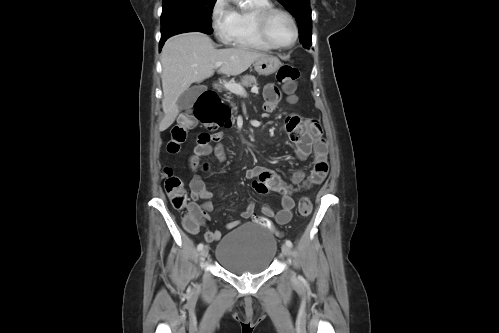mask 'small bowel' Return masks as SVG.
I'll list each match as a JSON object with an SVG mask.
<instances>
[{
  "mask_svg": "<svg viewBox=\"0 0 499 333\" xmlns=\"http://www.w3.org/2000/svg\"><path fill=\"white\" fill-rule=\"evenodd\" d=\"M264 109L271 112L275 109L280 99V92L274 84H267L264 88ZM285 127L290 140L295 145L296 155L300 160H306L311 157V170L309 174L299 170L293 175V183L298 185L306 181L307 185L320 184L327 176L329 170L328 147L322 136V128L315 119H303L297 114H291L286 118ZM223 138L222 132L213 134L202 133L192 155L189 158V169L191 178L189 187L191 190L192 202L190 205L200 208L202 216L212 210L213 193L207 188L200 176V170H207L208 165L201 163V158L214 153L218 159L225 160V154L220 146ZM215 144V145H213ZM245 177L252 180V188L260 194L276 192L281 196L280 209L274 211L269 205L263 207V213L275 219L278 224H286L292 218V212L295 207L293 198V189L286 185L272 170L256 165L245 171ZM204 200L202 206L196 204L197 200ZM254 203L250 201L246 208L241 212L243 219L253 216ZM241 224V221L235 220L226 224L227 229H232ZM198 228L191 232L196 233ZM220 231H207L205 239L208 242H215L221 238Z\"/></svg>",
  "mask_w": 499,
  "mask_h": 333,
  "instance_id": "c3829d8e",
  "label": "small bowel"
}]
</instances>
